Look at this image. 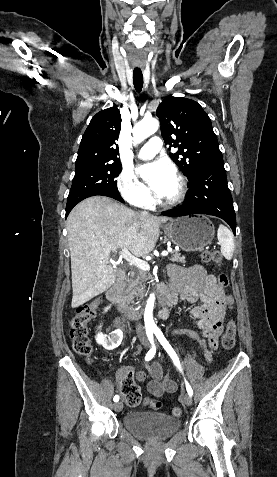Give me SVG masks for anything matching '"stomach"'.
<instances>
[{"label": "stomach", "instance_id": "stomach-1", "mask_svg": "<svg viewBox=\"0 0 277 477\" xmlns=\"http://www.w3.org/2000/svg\"><path fill=\"white\" fill-rule=\"evenodd\" d=\"M167 237L186 252L201 251L215 235L212 222L205 216H185L171 220L164 226Z\"/></svg>", "mask_w": 277, "mask_h": 477}]
</instances>
